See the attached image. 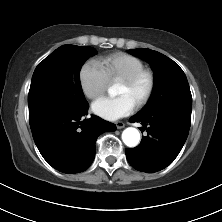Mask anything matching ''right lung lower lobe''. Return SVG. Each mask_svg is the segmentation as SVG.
Segmentation results:
<instances>
[{
  "instance_id": "obj_1",
  "label": "right lung lower lobe",
  "mask_w": 222,
  "mask_h": 222,
  "mask_svg": "<svg viewBox=\"0 0 222 222\" xmlns=\"http://www.w3.org/2000/svg\"><path fill=\"white\" fill-rule=\"evenodd\" d=\"M88 106L77 111H42L29 115L30 127L43 158L63 173L85 171L95 157V143L116 125L97 116L82 119Z\"/></svg>"
}]
</instances>
